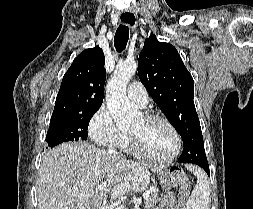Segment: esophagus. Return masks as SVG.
I'll list each match as a JSON object with an SVG mask.
<instances>
[{
  "mask_svg": "<svg viewBox=\"0 0 253 209\" xmlns=\"http://www.w3.org/2000/svg\"><path fill=\"white\" fill-rule=\"evenodd\" d=\"M120 22L124 25H128L131 28L136 26V14L132 11H124L120 13Z\"/></svg>",
  "mask_w": 253,
  "mask_h": 209,
  "instance_id": "1",
  "label": "esophagus"
}]
</instances>
